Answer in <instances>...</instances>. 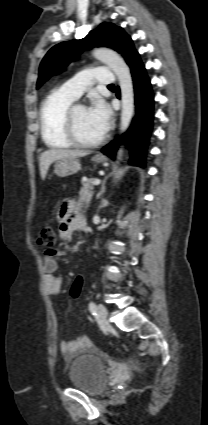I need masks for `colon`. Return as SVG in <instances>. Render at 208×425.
<instances>
[{"instance_id": "5ec220e1", "label": "colon", "mask_w": 208, "mask_h": 425, "mask_svg": "<svg viewBox=\"0 0 208 425\" xmlns=\"http://www.w3.org/2000/svg\"><path fill=\"white\" fill-rule=\"evenodd\" d=\"M55 242H56V234L54 229L50 226L44 227L40 232V235L38 238V244L50 249L55 245ZM83 286H84L83 277L77 276V278L74 280L70 289L71 297L74 299L79 298L82 294Z\"/></svg>"}]
</instances>
